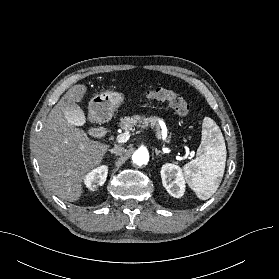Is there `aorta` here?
I'll return each mask as SVG.
<instances>
[{
  "label": "aorta",
  "instance_id": "aorta-1",
  "mask_svg": "<svg viewBox=\"0 0 279 279\" xmlns=\"http://www.w3.org/2000/svg\"><path fill=\"white\" fill-rule=\"evenodd\" d=\"M132 161L136 165H146L149 161V153L145 148H139L132 156Z\"/></svg>",
  "mask_w": 279,
  "mask_h": 279
}]
</instances>
